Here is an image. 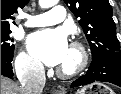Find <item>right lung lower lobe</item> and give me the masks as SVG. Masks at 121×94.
Returning a JSON list of instances; mask_svg holds the SVG:
<instances>
[{
	"mask_svg": "<svg viewBox=\"0 0 121 94\" xmlns=\"http://www.w3.org/2000/svg\"><path fill=\"white\" fill-rule=\"evenodd\" d=\"M13 54H1V75L12 77V64Z\"/></svg>",
	"mask_w": 121,
	"mask_h": 94,
	"instance_id": "1",
	"label": "right lung lower lobe"
}]
</instances>
